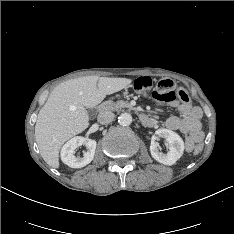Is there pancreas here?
Segmentation results:
<instances>
[{
	"instance_id": "cf45deb5",
	"label": "pancreas",
	"mask_w": 234,
	"mask_h": 234,
	"mask_svg": "<svg viewBox=\"0 0 234 234\" xmlns=\"http://www.w3.org/2000/svg\"><path fill=\"white\" fill-rule=\"evenodd\" d=\"M103 109L106 110H111V111H119L122 108H129V109H133V107L130 105V103L120 100L117 102H113V101H106L103 105H102Z\"/></svg>"
}]
</instances>
